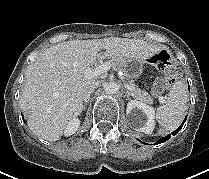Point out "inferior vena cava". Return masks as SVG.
<instances>
[{"label": "inferior vena cava", "instance_id": "1", "mask_svg": "<svg viewBox=\"0 0 209 179\" xmlns=\"http://www.w3.org/2000/svg\"><path fill=\"white\" fill-rule=\"evenodd\" d=\"M99 86V82H93L89 88L84 92L83 94V100L86 102L89 100L90 95L93 93V91Z\"/></svg>", "mask_w": 209, "mask_h": 179}]
</instances>
